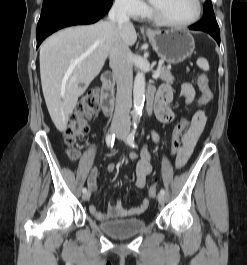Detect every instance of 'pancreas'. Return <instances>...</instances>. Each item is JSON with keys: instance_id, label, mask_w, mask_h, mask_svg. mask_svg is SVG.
<instances>
[{"instance_id": "cf45deb5", "label": "pancreas", "mask_w": 247, "mask_h": 265, "mask_svg": "<svg viewBox=\"0 0 247 265\" xmlns=\"http://www.w3.org/2000/svg\"><path fill=\"white\" fill-rule=\"evenodd\" d=\"M158 71L160 72L159 78L168 83H173L174 77L172 76L169 67L161 66Z\"/></svg>"}]
</instances>
